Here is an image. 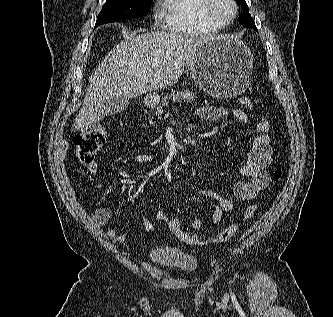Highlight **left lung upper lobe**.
Masks as SVG:
<instances>
[{
    "label": "left lung upper lobe",
    "instance_id": "obj_1",
    "mask_svg": "<svg viewBox=\"0 0 333 317\" xmlns=\"http://www.w3.org/2000/svg\"><path fill=\"white\" fill-rule=\"evenodd\" d=\"M236 1L240 3L242 5V8L244 9L242 16L239 18V22L247 28H252L254 30H257L255 22L254 20H252L251 15L249 14L246 1L245 0H236Z\"/></svg>",
    "mask_w": 333,
    "mask_h": 317
}]
</instances>
